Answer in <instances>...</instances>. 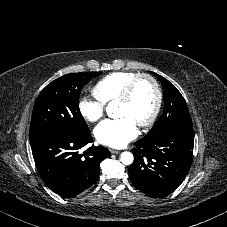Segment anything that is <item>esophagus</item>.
Here are the masks:
<instances>
[{
	"instance_id": "obj_1",
	"label": "esophagus",
	"mask_w": 227,
	"mask_h": 227,
	"mask_svg": "<svg viewBox=\"0 0 227 227\" xmlns=\"http://www.w3.org/2000/svg\"><path fill=\"white\" fill-rule=\"evenodd\" d=\"M110 152H111L112 154H119V153H120L119 150L112 149V148H110Z\"/></svg>"
}]
</instances>
